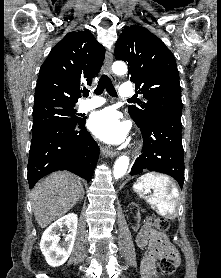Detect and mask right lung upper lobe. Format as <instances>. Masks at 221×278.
<instances>
[{"label": "right lung upper lobe", "instance_id": "right-lung-upper-lobe-1", "mask_svg": "<svg viewBox=\"0 0 221 278\" xmlns=\"http://www.w3.org/2000/svg\"><path fill=\"white\" fill-rule=\"evenodd\" d=\"M105 57L104 47L89 30L68 33L40 68L34 105L48 101L76 103L83 82L91 84Z\"/></svg>", "mask_w": 221, "mask_h": 278}]
</instances>
